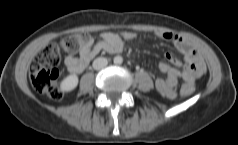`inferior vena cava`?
<instances>
[{
  "mask_svg": "<svg viewBox=\"0 0 238 145\" xmlns=\"http://www.w3.org/2000/svg\"><path fill=\"white\" fill-rule=\"evenodd\" d=\"M108 65V60L104 57H98L93 61V68L95 70H101Z\"/></svg>",
  "mask_w": 238,
  "mask_h": 145,
  "instance_id": "1",
  "label": "inferior vena cava"
}]
</instances>
